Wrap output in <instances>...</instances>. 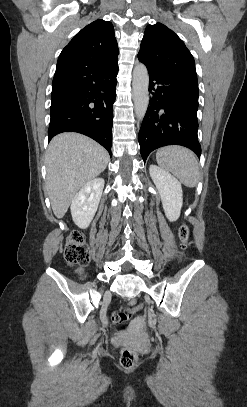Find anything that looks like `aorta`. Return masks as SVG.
<instances>
[{"instance_id": "1", "label": "aorta", "mask_w": 247, "mask_h": 407, "mask_svg": "<svg viewBox=\"0 0 247 407\" xmlns=\"http://www.w3.org/2000/svg\"><path fill=\"white\" fill-rule=\"evenodd\" d=\"M132 87L135 114L139 120H142L149 104V75L144 64L135 65Z\"/></svg>"}]
</instances>
